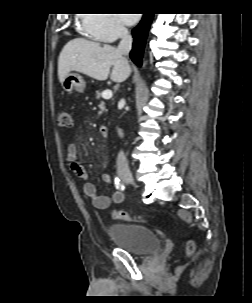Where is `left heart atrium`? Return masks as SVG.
<instances>
[{
    "instance_id": "obj_1",
    "label": "left heart atrium",
    "mask_w": 252,
    "mask_h": 303,
    "mask_svg": "<svg viewBox=\"0 0 252 303\" xmlns=\"http://www.w3.org/2000/svg\"><path fill=\"white\" fill-rule=\"evenodd\" d=\"M120 17L126 24L132 25L137 22L139 16L138 14H120Z\"/></svg>"
}]
</instances>
